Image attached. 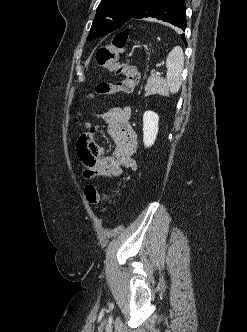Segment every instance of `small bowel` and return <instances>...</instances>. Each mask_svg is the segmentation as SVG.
I'll return each instance as SVG.
<instances>
[{
	"label": "small bowel",
	"mask_w": 247,
	"mask_h": 332,
	"mask_svg": "<svg viewBox=\"0 0 247 332\" xmlns=\"http://www.w3.org/2000/svg\"><path fill=\"white\" fill-rule=\"evenodd\" d=\"M95 117L103 121L106 132L114 143V149L111 154H107L96 143L98 128L86 123V131L76 143L77 156L84 166V177L112 179L119 176L124 168L135 170L133 155L137 150L138 140L129 122L130 107H115L108 112L96 114Z\"/></svg>",
	"instance_id": "c3829d8e"
}]
</instances>
